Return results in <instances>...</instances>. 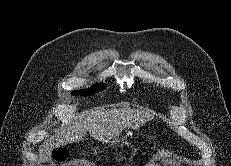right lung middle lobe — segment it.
Returning a JSON list of instances; mask_svg holds the SVG:
<instances>
[{
	"instance_id": "right-lung-middle-lobe-1",
	"label": "right lung middle lobe",
	"mask_w": 231,
	"mask_h": 166,
	"mask_svg": "<svg viewBox=\"0 0 231 166\" xmlns=\"http://www.w3.org/2000/svg\"><path fill=\"white\" fill-rule=\"evenodd\" d=\"M106 87V84H96L90 89H85V90H79V91H74L72 92V95H90L95 92H99L100 90H103Z\"/></svg>"
}]
</instances>
